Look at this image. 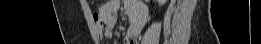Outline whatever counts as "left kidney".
<instances>
[{
    "label": "left kidney",
    "instance_id": "1",
    "mask_svg": "<svg viewBox=\"0 0 261 44\" xmlns=\"http://www.w3.org/2000/svg\"><path fill=\"white\" fill-rule=\"evenodd\" d=\"M159 5H163L165 2H167V0H158Z\"/></svg>",
    "mask_w": 261,
    "mask_h": 44
}]
</instances>
